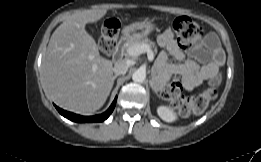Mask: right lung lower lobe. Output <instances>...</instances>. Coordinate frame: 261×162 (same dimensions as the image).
<instances>
[{
	"instance_id": "right-lung-lower-lobe-1",
	"label": "right lung lower lobe",
	"mask_w": 261,
	"mask_h": 162,
	"mask_svg": "<svg viewBox=\"0 0 261 162\" xmlns=\"http://www.w3.org/2000/svg\"><path fill=\"white\" fill-rule=\"evenodd\" d=\"M116 100H117V97L114 99L113 103L111 104V106L109 107V109L106 112L99 114V115H95V116H81L78 114H74L72 112L65 111L61 108H58L57 106H56V109L62 116H64L65 118H67L71 121H74V122H78V123L102 122V121L106 120L109 117V115L113 112L115 105H116Z\"/></svg>"
}]
</instances>
